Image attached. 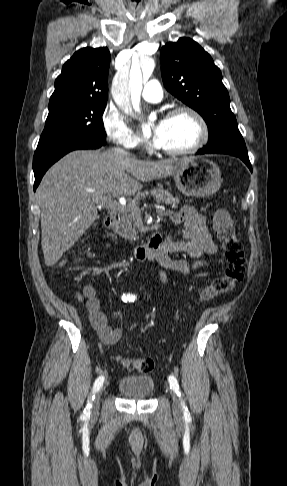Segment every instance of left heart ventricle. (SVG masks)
Returning a JSON list of instances; mask_svg holds the SVG:
<instances>
[{"label":"left heart ventricle","mask_w":287,"mask_h":486,"mask_svg":"<svg viewBox=\"0 0 287 486\" xmlns=\"http://www.w3.org/2000/svg\"><path fill=\"white\" fill-rule=\"evenodd\" d=\"M198 134L199 130L196 122L188 115H179L171 119H165L162 121L160 144L158 147L163 149L185 148L196 142Z\"/></svg>","instance_id":"obj_1"}]
</instances>
